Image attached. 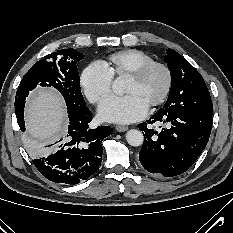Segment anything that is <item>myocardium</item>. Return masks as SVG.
Wrapping results in <instances>:
<instances>
[{
  "instance_id": "1",
  "label": "myocardium",
  "mask_w": 233,
  "mask_h": 233,
  "mask_svg": "<svg viewBox=\"0 0 233 233\" xmlns=\"http://www.w3.org/2000/svg\"><path fill=\"white\" fill-rule=\"evenodd\" d=\"M154 68H159L163 71L165 76V85L159 97L149 105L150 108H155L163 104L171 92L173 85V74L170 67L163 62L152 61L137 67L134 71L126 76L128 79L137 81L142 79L150 70Z\"/></svg>"
}]
</instances>
